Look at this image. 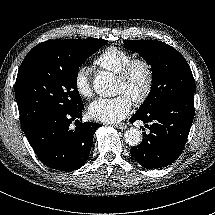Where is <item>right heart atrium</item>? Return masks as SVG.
<instances>
[{
	"mask_svg": "<svg viewBox=\"0 0 215 215\" xmlns=\"http://www.w3.org/2000/svg\"><path fill=\"white\" fill-rule=\"evenodd\" d=\"M74 89L83 99H90L93 95L91 77L86 67L78 68L74 73Z\"/></svg>",
	"mask_w": 215,
	"mask_h": 215,
	"instance_id": "1",
	"label": "right heart atrium"
}]
</instances>
